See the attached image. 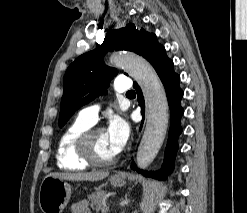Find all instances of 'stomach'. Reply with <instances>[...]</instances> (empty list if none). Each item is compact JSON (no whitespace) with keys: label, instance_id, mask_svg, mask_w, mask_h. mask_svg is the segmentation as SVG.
I'll list each match as a JSON object with an SVG mask.
<instances>
[{"label":"stomach","instance_id":"stomach-1","mask_svg":"<svg viewBox=\"0 0 247 213\" xmlns=\"http://www.w3.org/2000/svg\"><path fill=\"white\" fill-rule=\"evenodd\" d=\"M114 187L125 184L123 176L114 175L110 178ZM71 197V186L59 178L46 176L39 190V206L43 213H62Z\"/></svg>","mask_w":247,"mask_h":213}]
</instances>
